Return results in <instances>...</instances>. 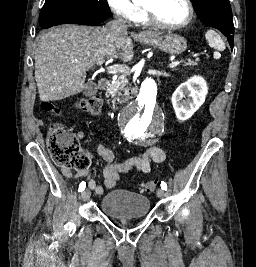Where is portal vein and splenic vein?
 <instances>
[{"instance_id":"1","label":"portal vein and splenic vein","mask_w":256,"mask_h":267,"mask_svg":"<svg viewBox=\"0 0 256 267\" xmlns=\"http://www.w3.org/2000/svg\"><path fill=\"white\" fill-rule=\"evenodd\" d=\"M179 63H181V60L172 61L170 68H174V66H178ZM98 66H102L103 62L102 60H99L97 62ZM108 70V74H118V72H121V74H130V68H125V66H109V68H106Z\"/></svg>"}]
</instances>
